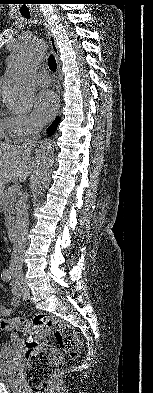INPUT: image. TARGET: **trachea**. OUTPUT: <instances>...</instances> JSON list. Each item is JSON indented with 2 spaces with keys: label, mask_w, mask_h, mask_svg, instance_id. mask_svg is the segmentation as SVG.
<instances>
[{
  "label": "trachea",
  "mask_w": 153,
  "mask_h": 393,
  "mask_svg": "<svg viewBox=\"0 0 153 393\" xmlns=\"http://www.w3.org/2000/svg\"><path fill=\"white\" fill-rule=\"evenodd\" d=\"M23 16L25 18H27V19H30V15L29 14H25ZM48 66H49V69L51 71L56 72V70H57V63H56L55 57L52 54L49 56Z\"/></svg>",
  "instance_id": "3493384b"
}]
</instances>
